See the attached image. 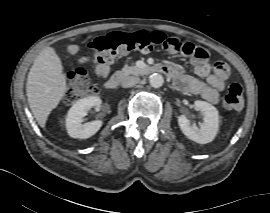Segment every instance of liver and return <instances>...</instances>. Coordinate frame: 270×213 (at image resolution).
<instances>
[{
  "mask_svg": "<svg viewBox=\"0 0 270 213\" xmlns=\"http://www.w3.org/2000/svg\"><path fill=\"white\" fill-rule=\"evenodd\" d=\"M66 88V76L59 56L54 48H44L36 57L26 83L30 109L42 128L65 95Z\"/></svg>",
  "mask_w": 270,
  "mask_h": 213,
  "instance_id": "liver-1",
  "label": "liver"
}]
</instances>
